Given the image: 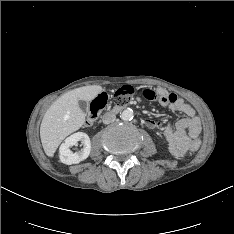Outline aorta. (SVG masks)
<instances>
[{"label":"aorta","instance_id":"aorta-1","mask_svg":"<svg viewBox=\"0 0 234 234\" xmlns=\"http://www.w3.org/2000/svg\"><path fill=\"white\" fill-rule=\"evenodd\" d=\"M134 116L133 110L128 108L122 111L120 114V118L124 121L132 120Z\"/></svg>","mask_w":234,"mask_h":234}]
</instances>
